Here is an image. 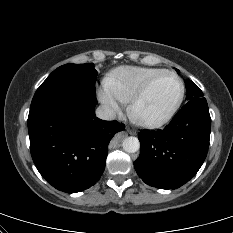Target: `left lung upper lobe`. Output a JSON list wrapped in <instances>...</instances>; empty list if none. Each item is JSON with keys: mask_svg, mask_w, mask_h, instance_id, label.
<instances>
[{"mask_svg": "<svg viewBox=\"0 0 233 233\" xmlns=\"http://www.w3.org/2000/svg\"><path fill=\"white\" fill-rule=\"evenodd\" d=\"M176 71L179 72L178 69H176ZM186 90H187L186 98L188 101L204 96L202 91L191 80H188L186 82Z\"/></svg>", "mask_w": 233, "mask_h": 233, "instance_id": "obj_1", "label": "left lung upper lobe"}]
</instances>
